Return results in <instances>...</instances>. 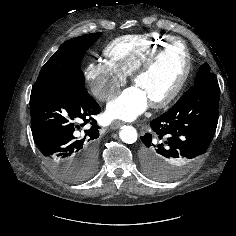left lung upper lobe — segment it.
<instances>
[{
  "label": "left lung upper lobe",
  "mask_w": 236,
  "mask_h": 236,
  "mask_svg": "<svg viewBox=\"0 0 236 236\" xmlns=\"http://www.w3.org/2000/svg\"><path fill=\"white\" fill-rule=\"evenodd\" d=\"M214 78L213 74L210 72V66L205 63L201 66L199 69V72L197 73L195 77V84L206 79Z\"/></svg>",
  "instance_id": "obj_1"
}]
</instances>
